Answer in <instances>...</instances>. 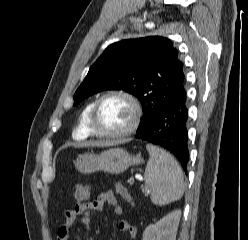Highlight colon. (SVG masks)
Wrapping results in <instances>:
<instances>
[{"label":"colon","mask_w":248,"mask_h":240,"mask_svg":"<svg viewBox=\"0 0 248 240\" xmlns=\"http://www.w3.org/2000/svg\"><path fill=\"white\" fill-rule=\"evenodd\" d=\"M115 190L121 197H123L124 199H126L129 202H132L131 195L129 194L127 189L122 184L116 183L115 184ZM89 195H90L89 186L86 184H81L77 187V190L74 194V199H75L77 204L85 203V202H87Z\"/></svg>","instance_id":"5ec220e1"}]
</instances>
